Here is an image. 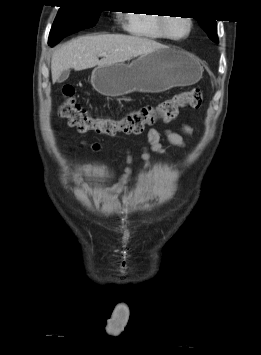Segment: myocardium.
<instances>
[{"instance_id":"f54148a6","label":"myocardium","mask_w":261,"mask_h":355,"mask_svg":"<svg viewBox=\"0 0 261 355\" xmlns=\"http://www.w3.org/2000/svg\"><path fill=\"white\" fill-rule=\"evenodd\" d=\"M183 19H185L188 23V32L186 35L182 36V37H174L170 34L169 32V23H170V20H171V17H163L161 19V29L165 35V37L169 40H173V41H182V40H185L187 39L191 33H192V30H193V21L190 17L188 16H184L182 17Z\"/></svg>"}]
</instances>
